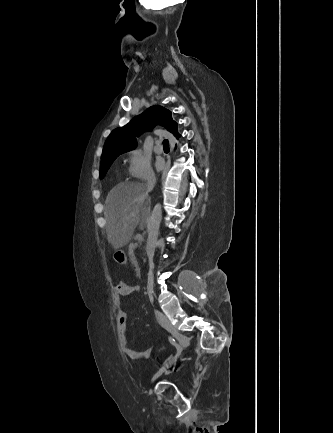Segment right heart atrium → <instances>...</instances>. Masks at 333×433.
Instances as JSON below:
<instances>
[{
  "label": "right heart atrium",
  "mask_w": 333,
  "mask_h": 433,
  "mask_svg": "<svg viewBox=\"0 0 333 433\" xmlns=\"http://www.w3.org/2000/svg\"><path fill=\"white\" fill-rule=\"evenodd\" d=\"M128 173L135 179H151L154 177V170L151 160L140 149H132L127 154Z\"/></svg>",
  "instance_id": "right-heart-atrium-1"
}]
</instances>
